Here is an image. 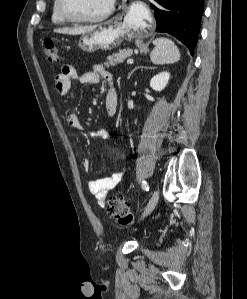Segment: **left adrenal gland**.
<instances>
[{
  "instance_id": "a2214340",
  "label": "left adrenal gland",
  "mask_w": 247,
  "mask_h": 299,
  "mask_svg": "<svg viewBox=\"0 0 247 299\" xmlns=\"http://www.w3.org/2000/svg\"><path fill=\"white\" fill-rule=\"evenodd\" d=\"M139 68H145V69H148L147 67L137 66V67H135L134 69H132V70L129 72V74H128V79L130 78V76L132 75V73H133L134 71H136L137 69H139ZM150 68L152 69V67H150Z\"/></svg>"
}]
</instances>
